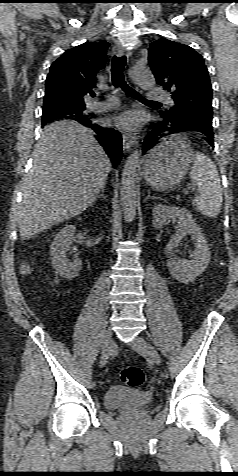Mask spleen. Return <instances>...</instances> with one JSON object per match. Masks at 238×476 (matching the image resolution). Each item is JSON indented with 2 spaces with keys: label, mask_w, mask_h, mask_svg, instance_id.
Here are the masks:
<instances>
[{
  "label": "spleen",
  "mask_w": 238,
  "mask_h": 476,
  "mask_svg": "<svg viewBox=\"0 0 238 476\" xmlns=\"http://www.w3.org/2000/svg\"><path fill=\"white\" fill-rule=\"evenodd\" d=\"M189 176L199 192L193 205L207 217L215 218L221 211L223 200L216 165L204 153L196 152Z\"/></svg>",
  "instance_id": "obj_1"
}]
</instances>
